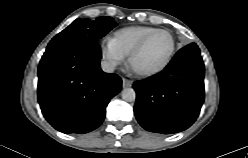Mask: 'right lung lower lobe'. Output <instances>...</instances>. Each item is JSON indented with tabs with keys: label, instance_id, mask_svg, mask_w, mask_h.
<instances>
[{
	"label": "right lung lower lobe",
	"instance_id": "98d812e1",
	"mask_svg": "<svg viewBox=\"0 0 248 158\" xmlns=\"http://www.w3.org/2000/svg\"><path fill=\"white\" fill-rule=\"evenodd\" d=\"M101 58L98 43L88 38H53L48 44L38 68V101L58 131L83 134L104 120L122 80L100 69Z\"/></svg>",
	"mask_w": 248,
	"mask_h": 158
}]
</instances>
